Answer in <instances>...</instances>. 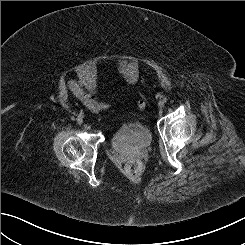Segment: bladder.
I'll use <instances>...</instances> for the list:
<instances>
[{
    "label": "bladder",
    "mask_w": 245,
    "mask_h": 245,
    "mask_svg": "<svg viewBox=\"0 0 245 245\" xmlns=\"http://www.w3.org/2000/svg\"><path fill=\"white\" fill-rule=\"evenodd\" d=\"M111 146L117 152L129 153L143 150L151 145L152 135L147 125L141 121H123L111 135Z\"/></svg>",
    "instance_id": "1"
}]
</instances>
